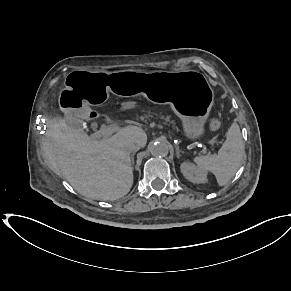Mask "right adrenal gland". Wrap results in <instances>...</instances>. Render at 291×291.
<instances>
[{
    "label": "right adrenal gland",
    "mask_w": 291,
    "mask_h": 291,
    "mask_svg": "<svg viewBox=\"0 0 291 291\" xmlns=\"http://www.w3.org/2000/svg\"><path fill=\"white\" fill-rule=\"evenodd\" d=\"M131 165H132V169H133V165H134V153L131 155Z\"/></svg>",
    "instance_id": "1"
}]
</instances>
